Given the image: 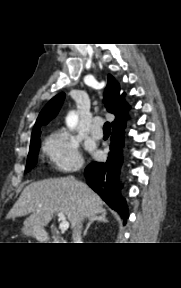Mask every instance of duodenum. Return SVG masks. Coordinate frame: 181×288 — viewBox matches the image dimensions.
<instances>
[{
  "label": "duodenum",
  "instance_id": "obj_1",
  "mask_svg": "<svg viewBox=\"0 0 181 288\" xmlns=\"http://www.w3.org/2000/svg\"><path fill=\"white\" fill-rule=\"evenodd\" d=\"M37 237H38V240L46 242V243H58V242H60V240H57V239L51 237L47 233L39 232L37 234Z\"/></svg>",
  "mask_w": 181,
  "mask_h": 288
}]
</instances>
